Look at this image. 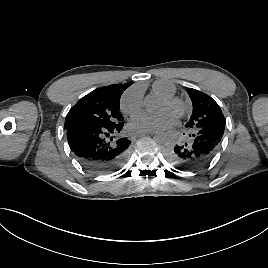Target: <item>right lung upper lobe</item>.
Instances as JSON below:
<instances>
[{
  "mask_svg": "<svg viewBox=\"0 0 268 268\" xmlns=\"http://www.w3.org/2000/svg\"><path fill=\"white\" fill-rule=\"evenodd\" d=\"M133 82L125 83V84H118V85H109L101 87L102 90L115 93V94H122L123 91L128 88L130 85H132Z\"/></svg>",
  "mask_w": 268,
  "mask_h": 268,
  "instance_id": "cb5924a9",
  "label": "right lung upper lobe"
}]
</instances>
